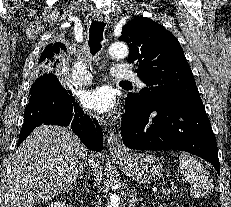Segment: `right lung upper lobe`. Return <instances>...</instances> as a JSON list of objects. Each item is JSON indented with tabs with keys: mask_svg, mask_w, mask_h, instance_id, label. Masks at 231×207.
Wrapping results in <instances>:
<instances>
[{
	"mask_svg": "<svg viewBox=\"0 0 231 207\" xmlns=\"http://www.w3.org/2000/svg\"><path fill=\"white\" fill-rule=\"evenodd\" d=\"M65 51H66V47L62 43L57 42L48 45L40 56L38 62L39 69L41 70L45 69L48 64L52 63L61 53Z\"/></svg>",
	"mask_w": 231,
	"mask_h": 207,
	"instance_id": "cb5924a9",
	"label": "right lung upper lobe"
}]
</instances>
